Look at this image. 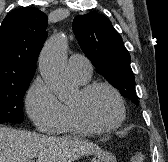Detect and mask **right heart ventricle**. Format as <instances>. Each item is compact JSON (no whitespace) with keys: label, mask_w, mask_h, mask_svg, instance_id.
Wrapping results in <instances>:
<instances>
[{"label":"right heart ventricle","mask_w":168,"mask_h":162,"mask_svg":"<svg viewBox=\"0 0 168 162\" xmlns=\"http://www.w3.org/2000/svg\"><path fill=\"white\" fill-rule=\"evenodd\" d=\"M79 81V80H78ZM82 84H85L86 82L79 81ZM64 105V112L65 117L63 123L53 132L56 134H62V135H83L88 133L89 131L83 128L78 124V122L75 119V116L71 109V104L66 103Z\"/></svg>","instance_id":"e07e8e85"}]
</instances>
